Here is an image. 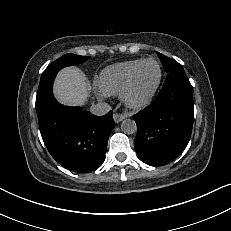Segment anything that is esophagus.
I'll use <instances>...</instances> for the list:
<instances>
[{
  "mask_svg": "<svg viewBox=\"0 0 231 231\" xmlns=\"http://www.w3.org/2000/svg\"><path fill=\"white\" fill-rule=\"evenodd\" d=\"M113 119L116 123L121 122L123 119H125V115L124 114H120V113H114L113 115Z\"/></svg>",
  "mask_w": 231,
  "mask_h": 231,
  "instance_id": "obj_1",
  "label": "esophagus"
}]
</instances>
